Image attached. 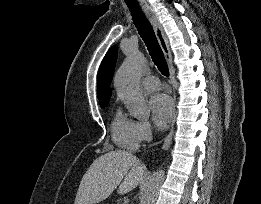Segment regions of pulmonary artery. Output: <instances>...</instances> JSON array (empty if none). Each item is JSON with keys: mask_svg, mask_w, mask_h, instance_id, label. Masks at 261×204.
Returning <instances> with one entry per match:
<instances>
[{"mask_svg": "<svg viewBox=\"0 0 261 204\" xmlns=\"http://www.w3.org/2000/svg\"><path fill=\"white\" fill-rule=\"evenodd\" d=\"M142 86L148 91H155L160 88L161 84L157 77L148 76L142 80Z\"/></svg>", "mask_w": 261, "mask_h": 204, "instance_id": "e3ab8cb5", "label": "pulmonary artery"}]
</instances>
